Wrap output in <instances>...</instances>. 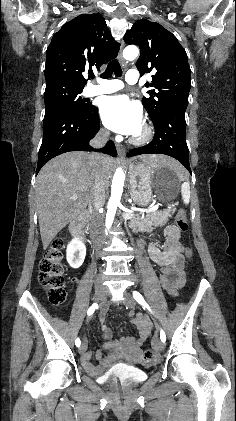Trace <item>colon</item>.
<instances>
[{"label":"colon","instance_id":"colon-1","mask_svg":"<svg viewBox=\"0 0 236 421\" xmlns=\"http://www.w3.org/2000/svg\"><path fill=\"white\" fill-rule=\"evenodd\" d=\"M176 225L182 232L188 230L187 216L183 209L179 210L176 215ZM63 249L64 240L56 238L39 264V282L45 289L50 303L54 306H60L66 299ZM184 255L187 258H191V248L186 247ZM144 356L146 360H152L155 357V352L152 349H148L145 351Z\"/></svg>","mask_w":236,"mask_h":421}]
</instances>
